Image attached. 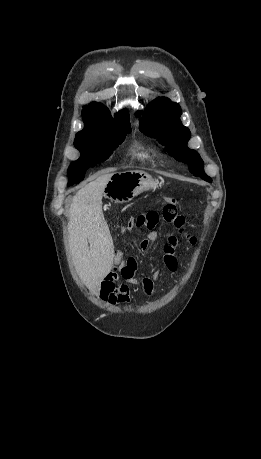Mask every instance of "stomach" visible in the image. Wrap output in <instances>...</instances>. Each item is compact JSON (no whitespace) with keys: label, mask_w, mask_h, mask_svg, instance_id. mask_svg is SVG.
I'll use <instances>...</instances> for the list:
<instances>
[{"label":"stomach","mask_w":261,"mask_h":459,"mask_svg":"<svg viewBox=\"0 0 261 459\" xmlns=\"http://www.w3.org/2000/svg\"><path fill=\"white\" fill-rule=\"evenodd\" d=\"M157 181L140 170H127L112 174L104 195L116 203H127L142 192L155 188Z\"/></svg>","instance_id":"1"}]
</instances>
